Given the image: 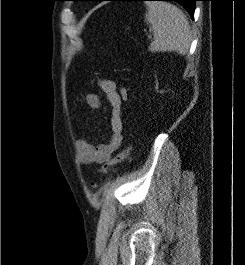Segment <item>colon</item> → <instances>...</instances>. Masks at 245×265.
I'll use <instances>...</instances> for the list:
<instances>
[{
    "label": "colon",
    "mask_w": 245,
    "mask_h": 265,
    "mask_svg": "<svg viewBox=\"0 0 245 265\" xmlns=\"http://www.w3.org/2000/svg\"><path fill=\"white\" fill-rule=\"evenodd\" d=\"M120 95L122 100H127L129 97L128 89L123 87L120 89ZM130 153V146L124 148L119 154H117L112 160L106 162L104 166L101 168V173H106L110 169H113L116 165L120 164L124 160H126ZM95 186V185H94Z\"/></svg>",
    "instance_id": "5ec220e1"
}]
</instances>
